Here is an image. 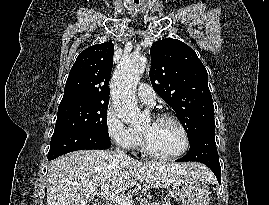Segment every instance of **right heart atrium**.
<instances>
[{
    "mask_svg": "<svg viewBox=\"0 0 269 205\" xmlns=\"http://www.w3.org/2000/svg\"><path fill=\"white\" fill-rule=\"evenodd\" d=\"M105 128L109 138L124 149L133 150L140 144L138 135L124 125L113 109H108L106 113Z\"/></svg>",
    "mask_w": 269,
    "mask_h": 205,
    "instance_id": "obj_1",
    "label": "right heart atrium"
}]
</instances>
